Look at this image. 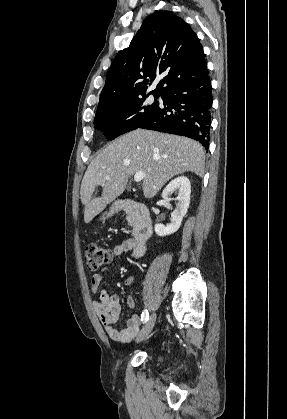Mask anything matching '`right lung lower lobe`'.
<instances>
[{"label":"right lung lower lobe","mask_w":287,"mask_h":419,"mask_svg":"<svg viewBox=\"0 0 287 419\" xmlns=\"http://www.w3.org/2000/svg\"><path fill=\"white\" fill-rule=\"evenodd\" d=\"M163 103L138 128L192 138L209 148L212 87L208 72L166 91Z\"/></svg>","instance_id":"98d812e1"}]
</instances>
